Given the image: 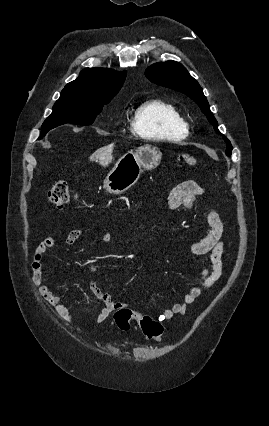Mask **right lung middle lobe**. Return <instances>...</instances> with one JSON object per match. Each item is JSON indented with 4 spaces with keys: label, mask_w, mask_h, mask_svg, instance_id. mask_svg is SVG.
<instances>
[{
    "label": "right lung middle lobe",
    "mask_w": 269,
    "mask_h": 426,
    "mask_svg": "<svg viewBox=\"0 0 269 426\" xmlns=\"http://www.w3.org/2000/svg\"><path fill=\"white\" fill-rule=\"evenodd\" d=\"M113 97H92L83 94L61 93L53 106V112L44 121L41 139L50 129L65 123L90 125L101 112L103 106Z\"/></svg>",
    "instance_id": "obj_1"
}]
</instances>
